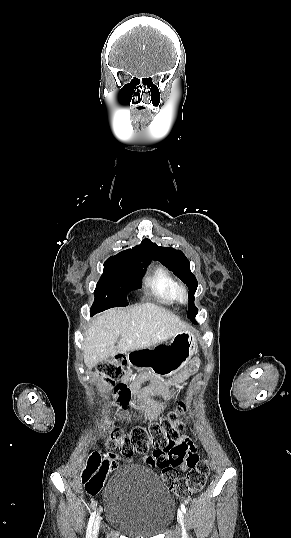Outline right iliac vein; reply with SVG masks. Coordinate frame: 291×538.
<instances>
[{"label": "right iliac vein", "instance_id": "right-iliac-vein-1", "mask_svg": "<svg viewBox=\"0 0 291 538\" xmlns=\"http://www.w3.org/2000/svg\"><path fill=\"white\" fill-rule=\"evenodd\" d=\"M100 523H101V516L98 515L95 519V522H94V526H93V537L92 538H97V534H98V530H99V526H100Z\"/></svg>", "mask_w": 291, "mask_h": 538}]
</instances>
